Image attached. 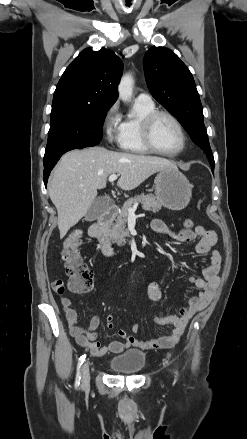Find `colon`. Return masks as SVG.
Here are the masks:
<instances>
[{
    "label": "colon",
    "mask_w": 247,
    "mask_h": 439,
    "mask_svg": "<svg viewBox=\"0 0 247 439\" xmlns=\"http://www.w3.org/2000/svg\"><path fill=\"white\" fill-rule=\"evenodd\" d=\"M186 228L193 227L190 219L184 221ZM82 233L72 232L63 242L61 256L64 261L66 274L69 276V287L73 292L87 293L93 288V272L84 263L80 254Z\"/></svg>",
    "instance_id": "1"
}]
</instances>
